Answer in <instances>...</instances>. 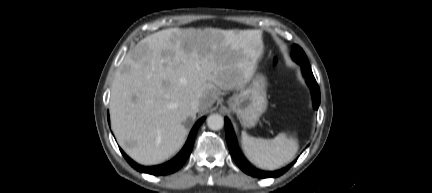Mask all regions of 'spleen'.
I'll use <instances>...</instances> for the list:
<instances>
[{
    "mask_svg": "<svg viewBox=\"0 0 432 193\" xmlns=\"http://www.w3.org/2000/svg\"><path fill=\"white\" fill-rule=\"evenodd\" d=\"M242 149L248 160L263 170H276L288 164L296 155L297 139L279 133L273 139H261L242 132Z\"/></svg>",
    "mask_w": 432,
    "mask_h": 193,
    "instance_id": "3e777b00",
    "label": "spleen"
}]
</instances>
